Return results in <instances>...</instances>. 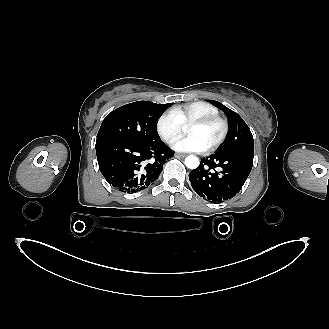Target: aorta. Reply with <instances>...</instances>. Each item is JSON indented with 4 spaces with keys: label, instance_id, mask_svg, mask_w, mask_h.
I'll list each match as a JSON object with an SVG mask.
<instances>
[{
    "label": "aorta",
    "instance_id": "1",
    "mask_svg": "<svg viewBox=\"0 0 329 329\" xmlns=\"http://www.w3.org/2000/svg\"><path fill=\"white\" fill-rule=\"evenodd\" d=\"M200 164L199 158L194 155H189L185 158V165L189 169H196Z\"/></svg>",
    "mask_w": 329,
    "mask_h": 329
}]
</instances>
